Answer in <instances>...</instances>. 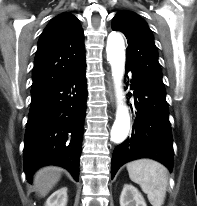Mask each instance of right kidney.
<instances>
[{
	"label": "right kidney",
	"instance_id": "right-kidney-1",
	"mask_svg": "<svg viewBox=\"0 0 197 206\" xmlns=\"http://www.w3.org/2000/svg\"><path fill=\"white\" fill-rule=\"evenodd\" d=\"M67 188H61L55 191L46 201L45 206H66Z\"/></svg>",
	"mask_w": 197,
	"mask_h": 206
}]
</instances>
